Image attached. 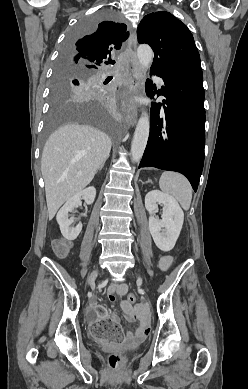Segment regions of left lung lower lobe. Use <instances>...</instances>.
Listing matches in <instances>:
<instances>
[{
  "label": "left lung lower lobe",
  "mask_w": 248,
  "mask_h": 389,
  "mask_svg": "<svg viewBox=\"0 0 248 389\" xmlns=\"http://www.w3.org/2000/svg\"><path fill=\"white\" fill-rule=\"evenodd\" d=\"M164 86L156 91L146 82L150 97L166 99L151 105L150 134L140 167H156L185 175L197 190L204 164L205 109L202 70L191 69L162 74Z\"/></svg>",
  "instance_id": "left-lung-lower-lobe-1"
}]
</instances>
